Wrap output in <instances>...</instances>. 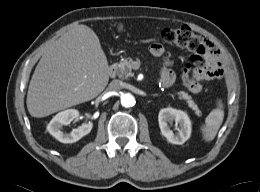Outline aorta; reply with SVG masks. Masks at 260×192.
I'll return each instance as SVG.
<instances>
[{"instance_id":"obj_1","label":"aorta","mask_w":260,"mask_h":192,"mask_svg":"<svg viewBox=\"0 0 260 192\" xmlns=\"http://www.w3.org/2000/svg\"><path fill=\"white\" fill-rule=\"evenodd\" d=\"M122 106L129 108L135 105V98L130 93H125L121 96Z\"/></svg>"}]
</instances>
